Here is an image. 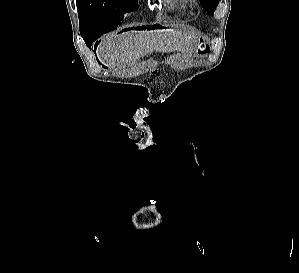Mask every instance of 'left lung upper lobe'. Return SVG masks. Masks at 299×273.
<instances>
[{
	"mask_svg": "<svg viewBox=\"0 0 299 273\" xmlns=\"http://www.w3.org/2000/svg\"><path fill=\"white\" fill-rule=\"evenodd\" d=\"M201 5L208 14H213L217 7L219 0H200Z\"/></svg>",
	"mask_w": 299,
	"mask_h": 273,
	"instance_id": "5c2ea615",
	"label": "left lung upper lobe"
}]
</instances>
